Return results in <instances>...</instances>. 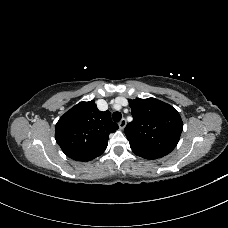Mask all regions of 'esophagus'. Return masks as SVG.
<instances>
[{
	"label": "esophagus",
	"instance_id": "esophagus-1",
	"mask_svg": "<svg viewBox=\"0 0 228 228\" xmlns=\"http://www.w3.org/2000/svg\"><path fill=\"white\" fill-rule=\"evenodd\" d=\"M126 119H121V121L119 122V128L122 130V129H124L125 128V126H126Z\"/></svg>",
	"mask_w": 228,
	"mask_h": 228
}]
</instances>
